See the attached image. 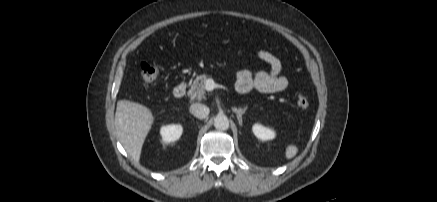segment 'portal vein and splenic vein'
Returning a JSON list of instances; mask_svg holds the SVG:
<instances>
[{
	"label": "portal vein and splenic vein",
	"instance_id": "1",
	"mask_svg": "<svg viewBox=\"0 0 437 202\" xmlns=\"http://www.w3.org/2000/svg\"><path fill=\"white\" fill-rule=\"evenodd\" d=\"M215 88V82L212 79H208L205 82V89L207 91H212Z\"/></svg>",
	"mask_w": 437,
	"mask_h": 202
}]
</instances>
